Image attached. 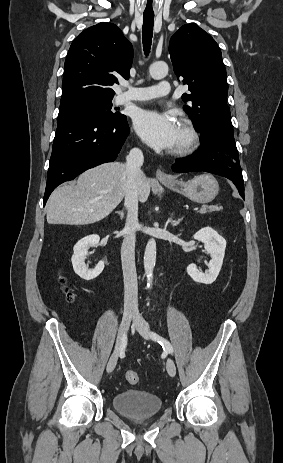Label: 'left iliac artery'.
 <instances>
[{"mask_svg":"<svg viewBox=\"0 0 283 463\" xmlns=\"http://www.w3.org/2000/svg\"><path fill=\"white\" fill-rule=\"evenodd\" d=\"M150 337H151L152 340L157 341L160 345H162V347H163V349L165 351H167L169 353L173 352V347L170 344V342L167 341L166 339H164L163 337H161L160 335H158L157 333L151 332Z\"/></svg>","mask_w":283,"mask_h":463,"instance_id":"1","label":"left iliac artery"}]
</instances>
